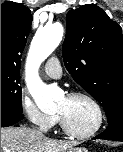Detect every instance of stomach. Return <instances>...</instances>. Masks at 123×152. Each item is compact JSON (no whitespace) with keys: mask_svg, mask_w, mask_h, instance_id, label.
Wrapping results in <instances>:
<instances>
[{"mask_svg":"<svg viewBox=\"0 0 123 152\" xmlns=\"http://www.w3.org/2000/svg\"><path fill=\"white\" fill-rule=\"evenodd\" d=\"M68 152H89L86 148L76 147L69 149Z\"/></svg>","mask_w":123,"mask_h":152,"instance_id":"1","label":"stomach"}]
</instances>
